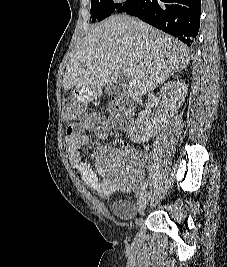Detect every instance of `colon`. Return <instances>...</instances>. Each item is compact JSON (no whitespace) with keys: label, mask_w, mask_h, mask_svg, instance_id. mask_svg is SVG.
Wrapping results in <instances>:
<instances>
[{"label":"colon","mask_w":227,"mask_h":267,"mask_svg":"<svg viewBox=\"0 0 227 267\" xmlns=\"http://www.w3.org/2000/svg\"><path fill=\"white\" fill-rule=\"evenodd\" d=\"M108 109L118 117H121L128 112L129 106L121 99H113L109 103ZM63 112L66 120H83L86 117V111L80 104L67 103L64 106Z\"/></svg>","instance_id":"5ec220e1"}]
</instances>
